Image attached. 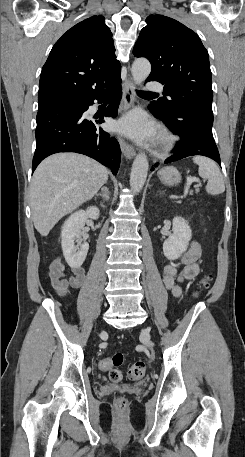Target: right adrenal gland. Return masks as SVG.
I'll use <instances>...</instances> for the list:
<instances>
[{
	"mask_svg": "<svg viewBox=\"0 0 245 457\" xmlns=\"http://www.w3.org/2000/svg\"><path fill=\"white\" fill-rule=\"evenodd\" d=\"M96 196H102L103 200H109V198H110L109 188H107V186H102V194H96ZM101 206H104V204H101Z\"/></svg>",
	"mask_w": 245,
	"mask_h": 457,
	"instance_id": "right-adrenal-gland-1",
	"label": "right adrenal gland"
}]
</instances>
